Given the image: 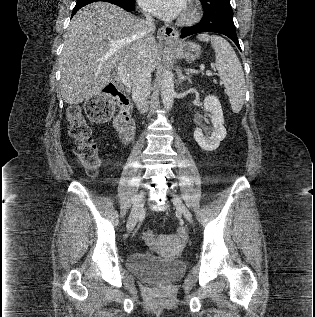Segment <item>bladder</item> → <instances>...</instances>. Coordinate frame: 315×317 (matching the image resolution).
<instances>
[{"mask_svg": "<svg viewBox=\"0 0 315 317\" xmlns=\"http://www.w3.org/2000/svg\"><path fill=\"white\" fill-rule=\"evenodd\" d=\"M129 271L148 282H171L186 270L180 259H164L149 253H133L127 259Z\"/></svg>", "mask_w": 315, "mask_h": 317, "instance_id": "bladder-1", "label": "bladder"}]
</instances>
